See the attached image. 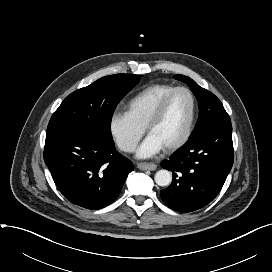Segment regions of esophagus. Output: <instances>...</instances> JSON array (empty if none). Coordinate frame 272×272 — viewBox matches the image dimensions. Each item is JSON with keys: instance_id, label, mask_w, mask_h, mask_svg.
Returning <instances> with one entry per match:
<instances>
[{"instance_id": "obj_1", "label": "esophagus", "mask_w": 272, "mask_h": 272, "mask_svg": "<svg viewBox=\"0 0 272 272\" xmlns=\"http://www.w3.org/2000/svg\"><path fill=\"white\" fill-rule=\"evenodd\" d=\"M137 167L140 170H155L157 166L154 163L139 162L137 163Z\"/></svg>"}]
</instances>
